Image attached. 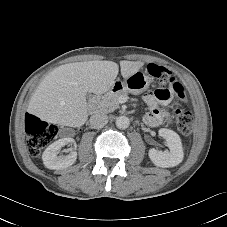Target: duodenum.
<instances>
[{
  "label": "duodenum",
  "mask_w": 227,
  "mask_h": 227,
  "mask_svg": "<svg viewBox=\"0 0 227 227\" xmlns=\"http://www.w3.org/2000/svg\"><path fill=\"white\" fill-rule=\"evenodd\" d=\"M120 89H121V87H120L119 85L115 84V85L111 88V91L117 92V91H119ZM99 97H100L99 95H95V96H93V97L91 98V100H90V108H91V109H95L96 103H97Z\"/></svg>",
  "instance_id": "410a0bca"
}]
</instances>
